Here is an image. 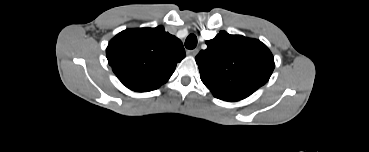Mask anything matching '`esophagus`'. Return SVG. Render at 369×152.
<instances>
[{
	"mask_svg": "<svg viewBox=\"0 0 369 152\" xmlns=\"http://www.w3.org/2000/svg\"><path fill=\"white\" fill-rule=\"evenodd\" d=\"M198 52H199V49L198 48H195L193 50H188L187 51V54L188 55H191V56H196L198 54Z\"/></svg>",
	"mask_w": 369,
	"mask_h": 152,
	"instance_id": "1",
	"label": "esophagus"
}]
</instances>
